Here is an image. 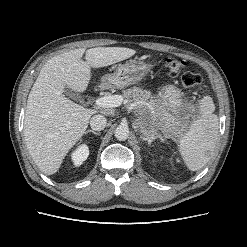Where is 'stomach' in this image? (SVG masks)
I'll use <instances>...</instances> for the list:
<instances>
[{"mask_svg":"<svg viewBox=\"0 0 247 247\" xmlns=\"http://www.w3.org/2000/svg\"><path fill=\"white\" fill-rule=\"evenodd\" d=\"M150 69V65L135 59H130L118 66L116 71L102 77L101 84L108 88H125L138 83L143 79ZM162 104L173 113L169 121L155 118L149 109L143 114H139L136 126L145 138L156 132V127L160 126L162 131L171 136L181 137L187 131V123H182L181 119L174 115L177 108L183 104L181 90L174 85H165L159 92Z\"/></svg>","mask_w":247,"mask_h":247,"instance_id":"0dacf381","label":"stomach"}]
</instances>
